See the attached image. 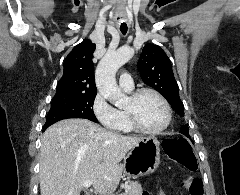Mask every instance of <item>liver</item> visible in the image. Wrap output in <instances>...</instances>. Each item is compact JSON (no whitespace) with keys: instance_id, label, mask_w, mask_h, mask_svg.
<instances>
[{"instance_id":"obj_1","label":"liver","mask_w":240,"mask_h":195,"mask_svg":"<svg viewBox=\"0 0 240 195\" xmlns=\"http://www.w3.org/2000/svg\"><path fill=\"white\" fill-rule=\"evenodd\" d=\"M141 139L80 117L53 123L41 141V195H80L83 181H93L95 191L111 195L123 177L121 159Z\"/></svg>"}]
</instances>
